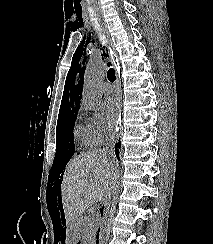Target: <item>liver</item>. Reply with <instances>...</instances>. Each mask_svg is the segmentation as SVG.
Wrapping results in <instances>:
<instances>
[{
  "label": "liver",
  "mask_w": 213,
  "mask_h": 244,
  "mask_svg": "<svg viewBox=\"0 0 213 244\" xmlns=\"http://www.w3.org/2000/svg\"><path fill=\"white\" fill-rule=\"evenodd\" d=\"M113 174L114 164L107 150L82 153L68 163L61 184V198L70 230L78 228L75 221L95 201L109 199Z\"/></svg>",
  "instance_id": "6515ba94"
}]
</instances>
